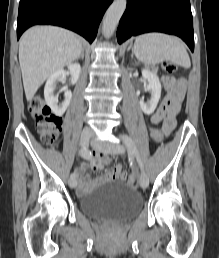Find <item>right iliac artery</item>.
I'll return each mask as SVG.
<instances>
[{
    "label": "right iliac artery",
    "instance_id": "82829eb1",
    "mask_svg": "<svg viewBox=\"0 0 219 258\" xmlns=\"http://www.w3.org/2000/svg\"><path fill=\"white\" fill-rule=\"evenodd\" d=\"M81 157L85 158V159H89L90 158V155L91 153L89 152V150H87L86 148H82L80 151H79ZM76 177V173H72L70 178H75Z\"/></svg>",
    "mask_w": 219,
    "mask_h": 258
}]
</instances>
